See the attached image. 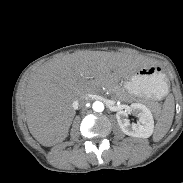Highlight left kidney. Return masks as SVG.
I'll return each instance as SVG.
<instances>
[{"label": "left kidney", "instance_id": "5707ae66", "mask_svg": "<svg viewBox=\"0 0 183 183\" xmlns=\"http://www.w3.org/2000/svg\"><path fill=\"white\" fill-rule=\"evenodd\" d=\"M139 118V124H131L128 114ZM118 124L126 135L137 138H148L154 131V120L148 107L141 103H132L128 111L120 110L116 114Z\"/></svg>", "mask_w": 183, "mask_h": 183}]
</instances>
